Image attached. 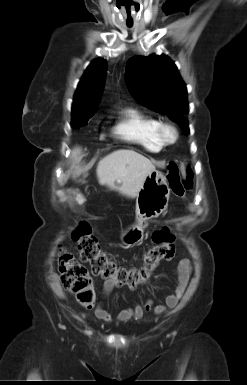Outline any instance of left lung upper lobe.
Listing matches in <instances>:
<instances>
[{"label": "left lung upper lobe", "instance_id": "5c2ea615", "mask_svg": "<svg viewBox=\"0 0 247 385\" xmlns=\"http://www.w3.org/2000/svg\"><path fill=\"white\" fill-rule=\"evenodd\" d=\"M126 83L142 105L167 114L189 134L187 90L174 62L166 55L134 56L127 64Z\"/></svg>", "mask_w": 247, "mask_h": 385}]
</instances>
